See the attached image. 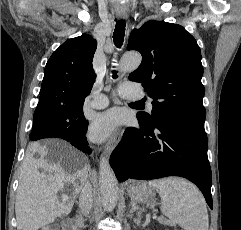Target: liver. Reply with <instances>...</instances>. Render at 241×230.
Returning a JSON list of instances; mask_svg holds the SVG:
<instances>
[{
    "instance_id": "obj_1",
    "label": "liver",
    "mask_w": 241,
    "mask_h": 230,
    "mask_svg": "<svg viewBox=\"0 0 241 230\" xmlns=\"http://www.w3.org/2000/svg\"><path fill=\"white\" fill-rule=\"evenodd\" d=\"M57 162L47 159L49 152ZM38 152L39 157L34 154ZM86 158L64 141H53L49 150L38 143L27 151L19 177L15 202L17 230H37L70 213L88 177ZM77 180L80 183H77ZM66 183L73 185L72 197L60 203L57 193Z\"/></svg>"
}]
</instances>
